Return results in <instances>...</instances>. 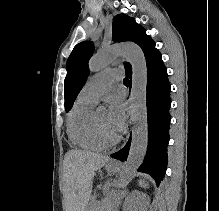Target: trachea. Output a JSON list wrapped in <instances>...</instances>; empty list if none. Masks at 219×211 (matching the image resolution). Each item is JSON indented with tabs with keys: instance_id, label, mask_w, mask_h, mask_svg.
<instances>
[{
	"instance_id": "3493384b",
	"label": "trachea",
	"mask_w": 219,
	"mask_h": 211,
	"mask_svg": "<svg viewBox=\"0 0 219 211\" xmlns=\"http://www.w3.org/2000/svg\"><path fill=\"white\" fill-rule=\"evenodd\" d=\"M123 83H124L125 85H128V84H129V79H128V78H124Z\"/></svg>"
}]
</instances>
